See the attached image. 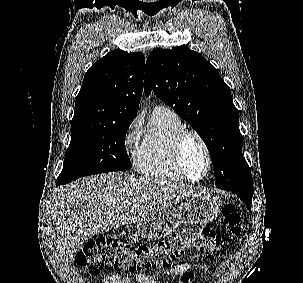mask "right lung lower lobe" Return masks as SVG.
Segmentation results:
<instances>
[{
	"label": "right lung lower lobe",
	"instance_id": "right-lung-lower-lobe-1",
	"mask_svg": "<svg viewBox=\"0 0 303 283\" xmlns=\"http://www.w3.org/2000/svg\"><path fill=\"white\" fill-rule=\"evenodd\" d=\"M62 184H66V182L60 178L57 179L56 181V185L59 186V185H62Z\"/></svg>",
	"mask_w": 303,
	"mask_h": 283
}]
</instances>
